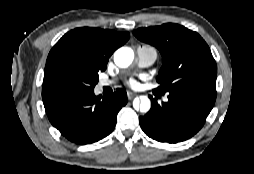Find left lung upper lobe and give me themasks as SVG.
<instances>
[{"label": "left lung upper lobe", "instance_id": "5c2ea615", "mask_svg": "<svg viewBox=\"0 0 254 174\" xmlns=\"http://www.w3.org/2000/svg\"><path fill=\"white\" fill-rule=\"evenodd\" d=\"M133 34L162 54L163 65L156 78L160 86L154 91L161 94L189 91L216 99V62L198 33L167 23L139 28Z\"/></svg>", "mask_w": 254, "mask_h": 174}]
</instances>
